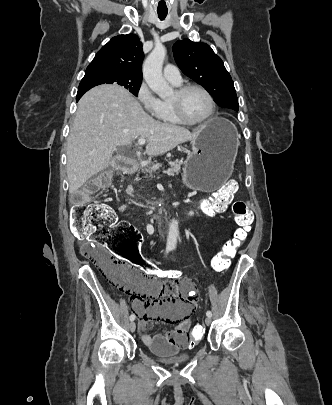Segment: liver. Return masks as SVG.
I'll return each mask as SVG.
<instances>
[{
    "label": "liver",
    "instance_id": "6515ba94",
    "mask_svg": "<svg viewBox=\"0 0 332 405\" xmlns=\"http://www.w3.org/2000/svg\"><path fill=\"white\" fill-rule=\"evenodd\" d=\"M190 132L150 117L128 91L117 85H101L85 93L78 103L67 139L69 193L112 164L113 152L137 138L147 139L145 152L162 155L195 138Z\"/></svg>",
    "mask_w": 332,
    "mask_h": 405
}]
</instances>
